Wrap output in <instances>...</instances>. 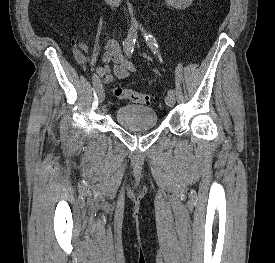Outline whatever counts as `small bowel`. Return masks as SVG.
Returning a JSON list of instances; mask_svg holds the SVG:
<instances>
[{"mask_svg": "<svg viewBox=\"0 0 275 263\" xmlns=\"http://www.w3.org/2000/svg\"><path fill=\"white\" fill-rule=\"evenodd\" d=\"M87 46L76 43L73 47V54L80 65L86 62ZM92 72L95 76L103 79L104 83H114L117 79H126L136 71L135 65L123 54L120 45L114 39L106 41L103 64L93 67Z\"/></svg>", "mask_w": 275, "mask_h": 263, "instance_id": "1", "label": "small bowel"}]
</instances>
